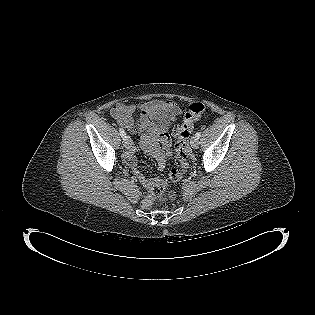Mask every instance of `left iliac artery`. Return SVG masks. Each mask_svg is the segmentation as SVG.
Returning a JSON list of instances; mask_svg holds the SVG:
<instances>
[{"instance_id":"1","label":"left iliac artery","mask_w":315,"mask_h":315,"mask_svg":"<svg viewBox=\"0 0 315 315\" xmlns=\"http://www.w3.org/2000/svg\"><path fill=\"white\" fill-rule=\"evenodd\" d=\"M195 136L199 139L201 137V132H197Z\"/></svg>"}]
</instances>
